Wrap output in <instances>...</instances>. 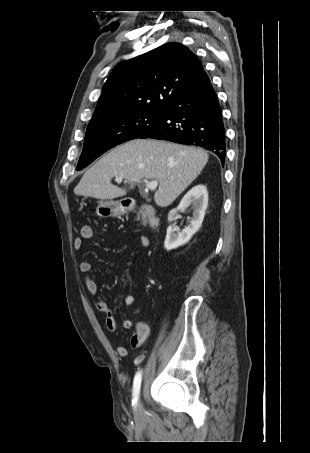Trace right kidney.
Listing matches in <instances>:
<instances>
[{"label":"right kidney","mask_w":310,"mask_h":453,"mask_svg":"<svg viewBox=\"0 0 310 453\" xmlns=\"http://www.w3.org/2000/svg\"><path fill=\"white\" fill-rule=\"evenodd\" d=\"M190 205L193 208V218L190 224L181 232L171 226L167 228V235L164 242L166 250L176 249L186 244L201 227L208 206V193L204 185H196L185 194L178 207L170 211L168 215L169 222L174 220V216L178 210H184Z\"/></svg>","instance_id":"1"}]
</instances>
